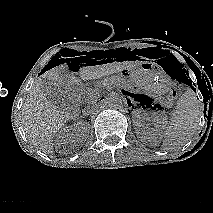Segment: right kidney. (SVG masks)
Returning a JSON list of instances; mask_svg holds the SVG:
<instances>
[{"instance_id": "1", "label": "right kidney", "mask_w": 213, "mask_h": 213, "mask_svg": "<svg viewBox=\"0 0 213 213\" xmlns=\"http://www.w3.org/2000/svg\"><path fill=\"white\" fill-rule=\"evenodd\" d=\"M69 131H74L77 136L82 137V139H86L88 137L87 126L85 123H77L70 130L66 131V134H63L61 137L68 136Z\"/></svg>"}]
</instances>
